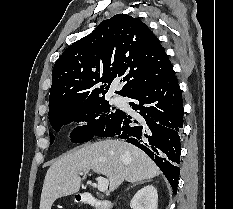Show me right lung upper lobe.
<instances>
[{
  "label": "right lung upper lobe",
  "instance_id": "right-lung-upper-lobe-1",
  "mask_svg": "<svg viewBox=\"0 0 233 209\" xmlns=\"http://www.w3.org/2000/svg\"><path fill=\"white\" fill-rule=\"evenodd\" d=\"M172 66L158 38L141 20L117 14L69 46L52 71L49 113L104 99L112 81L128 96L155 83ZM48 113V114H49Z\"/></svg>",
  "mask_w": 233,
  "mask_h": 209
}]
</instances>
